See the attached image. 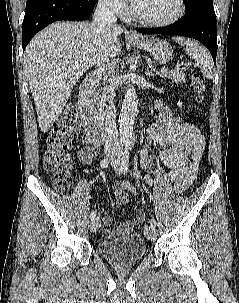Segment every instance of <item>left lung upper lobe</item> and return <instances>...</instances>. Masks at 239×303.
<instances>
[{"mask_svg":"<svg viewBox=\"0 0 239 303\" xmlns=\"http://www.w3.org/2000/svg\"><path fill=\"white\" fill-rule=\"evenodd\" d=\"M185 1V11L189 12L201 5H213V0H184Z\"/></svg>","mask_w":239,"mask_h":303,"instance_id":"obj_1","label":"left lung upper lobe"}]
</instances>
